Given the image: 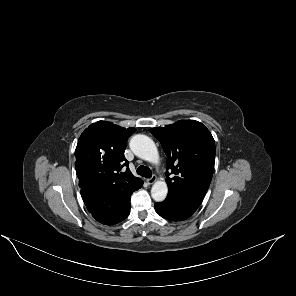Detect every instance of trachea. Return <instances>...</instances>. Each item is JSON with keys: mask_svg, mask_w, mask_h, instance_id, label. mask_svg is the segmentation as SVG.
<instances>
[{"mask_svg": "<svg viewBox=\"0 0 296 296\" xmlns=\"http://www.w3.org/2000/svg\"><path fill=\"white\" fill-rule=\"evenodd\" d=\"M137 174L141 175L142 177L145 178H151L152 177V171L146 167V166H139L137 169Z\"/></svg>", "mask_w": 296, "mask_h": 296, "instance_id": "1", "label": "trachea"}]
</instances>
